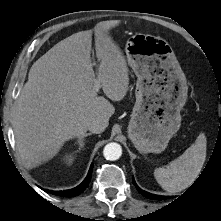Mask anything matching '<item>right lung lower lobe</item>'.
Masks as SVG:
<instances>
[{"label": "right lung lower lobe", "instance_id": "1", "mask_svg": "<svg viewBox=\"0 0 221 221\" xmlns=\"http://www.w3.org/2000/svg\"><path fill=\"white\" fill-rule=\"evenodd\" d=\"M92 169H93V164H91L89 173L85 180L77 187L70 189V190H65V191H49L45 190L46 192H50L51 194L58 195V196H63V197H74L79 195L89 184L91 174H92Z\"/></svg>", "mask_w": 221, "mask_h": 221}]
</instances>
